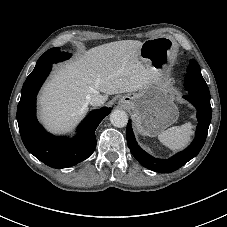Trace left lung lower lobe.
Returning a JSON list of instances; mask_svg holds the SVG:
<instances>
[{
    "instance_id": "left-lung-lower-lobe-1",
    "label": "left lung lower lobe",
    "mask_w": 227,
    "mask_h": 227,
    "mask_svg": "<svg viewBox=\"0 0 227 227\" xmlns=\"http://www.w3.org/2000/svg\"><path fill=\"white\" fill-rule=\"evenodd\" d=\"M183 97L189 102H191L197 109V130L195 133V139L192 141V143L185 150L177 153L170 159H156L147 154L144 150H142L135 141L134 134L131 128V122H128L126 138L129 149L131 150L133 156L144 167L155 172L170 173L182 167L193 157H195L202 149L207 137L208 128L212 117L210 99L193 94H188Z\"/></svg>"
}]
</instances>
